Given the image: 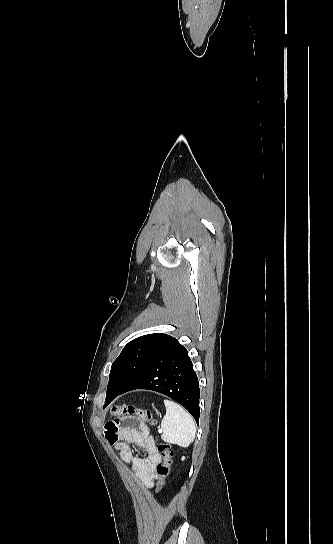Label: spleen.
I'll list each match as a JSON object with an SVG mask.
<instances>
[{"mask_svg": "<svg viewBox=\"0 0 333 544\" xmlns=\"http://www.w3.org/2000/svg\"><path fill=\"white\" fill-rule=\"evenodd\" d=\"M166 414L161 421L162 440L181 447L194 441L196 426L192 416L179 404L164 400Z\"/></svg>", "mask_w": 333, "mask_h": 544, "instance_id": "obj_1", "label": "spleen"}]
</instances>
